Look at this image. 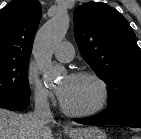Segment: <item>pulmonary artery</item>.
<instances>
[{
    "label": "pulmonary artery",
    "instance_id": "1",
    "mask_svg": "<svg viewBox=\"0 0 141 139\" xmlns=\"http://www.w3.org/2000/svg\"><path fill=\"white\" fill-rule=\"evenodd\" d=\"M54 55L61 62H69L74 57V48L71 43L62 42L57 46Z\"/></svg>",
    "mask_w": 141,
    "mask_h": 139
}]
</instances>
